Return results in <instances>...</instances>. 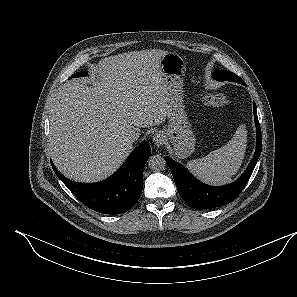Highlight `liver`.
Masks as SVG:
<instances>
[{
	"mask_svg": "<svg viewBox=\"0 0 297 297\" xmlns=\"http://www.w3.org/2000/svg\"><path fill=\"white\" fill-rule=\"evenodd\" d=\"M167 51H133L102 59L93 86L66 83L54 99L49 150L57 169L76 182H99L133 150L131 128L160 125L168 117L160 62ZM96 77V78H95Z\"/></svg>",
	"mask_w": 297,
	"mask_h": 297,
	"instance_id": "obj_1",
	"label": "liver"
}]
</instances>
